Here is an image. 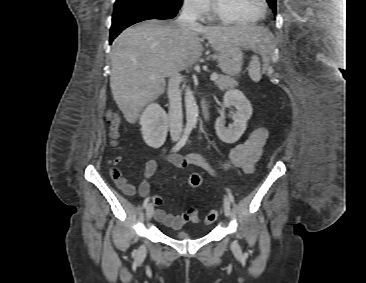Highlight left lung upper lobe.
<instances>
[{"mask_svg":"<svg viewBox=\"0 0 366 283\" xmlns=\"http://www.w3.org/2000/svg\"><path fill=\"white\" fill-rule=\"evenodd\" d=\"M270 7L272 8L273 12L276 13V0H266Z\"/></svg>","mask_w":366,"mask_h":283,"instance_id":"1","label":"left lung upper lobe"}]
</instances>
